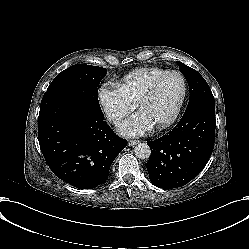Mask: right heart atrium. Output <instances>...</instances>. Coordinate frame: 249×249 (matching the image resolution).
Wrapping results in <instances>:
<instances>
[{"instance_id":"1","label":"right heart atrium","mask_w":249,"mask_h":249,"mask_svg":"<svg viewBox=\"0 0 249 249\" xmlns=\"http://www.w3.org/2000/svg\"><path fill=\"white\" fill-rule=\"evenodd\" d=\"M101 97H103L105 101L104 104L108 114H111L114 111L117 117H122L130 110L127 100L121 94L115 93L114 98H112L110 94L102 95Z\"/></svg>"}]
</instances>
